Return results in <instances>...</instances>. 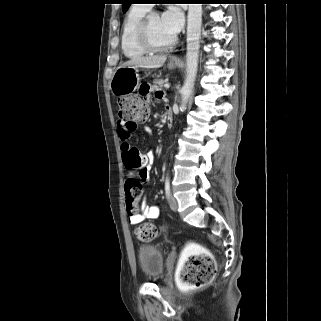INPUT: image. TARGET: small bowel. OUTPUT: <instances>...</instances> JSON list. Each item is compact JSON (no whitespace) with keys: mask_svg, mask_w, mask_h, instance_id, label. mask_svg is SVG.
<instances>
[{"mask_svg":"<svg viewBox=\"0 0 321 321\" xmlns=\"http://www.w3.org/2000/svg\"><path fill=\"white\" fill-rule=\"evenodd\" d=\"M138 97H142L143 103L145 105L150 104L151 97L149 96V93L151 92V87L149 86L148 82H141L140 87H137L136 89ZM154 95L157 99H164L165 94L162 90L155 89ZM167 110H169V107L167 106ZM118 128V138L120 140V149L122 152V158L124 161V164L128 158V156L138 151L136 148L130 145L129 138L131 137L132 131L134 129L128 128L123 122L118 121L117 123ZM145 131L148 134H151L152 131L150 128H145ZM139 152V151H138ZM143 160L145 161V165L139 169V176L143 181H149V168L147 166L148 160L150 156L141 155ZM160 214V209L156 205H142L141 211L139 213H135L129 216V221L132 225H137L139 223H142L143 221L147 219H157Z\"/></svg>","mask_w":321,"mask_h":321,"instance_id":"c3829d8e","label":"small bowel"}]
</instances>
